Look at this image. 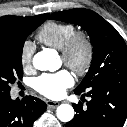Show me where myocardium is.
<instances>
[{
  "label": "myocardium",
  "instance_id": "1",
  "mask_svg": "<svg viewBox=\"0 0 127 127\" xmlns=\"http://www.w3.org/2000/svg\"><path fill=\"white\" fill-rule=\"evenodd\" d=\"M79 48H83V60L78 63L76 61V52ZM94 43L86 31H76L65 43L61 50V58L63 63L78 75H85L91 68L94 60Z\"/></svg>",
  "mask_w": 127,
  "mask_h": 127
}]
</instances>
